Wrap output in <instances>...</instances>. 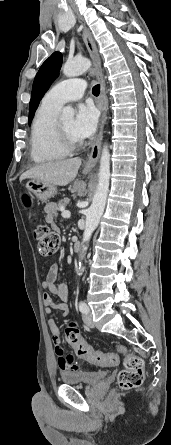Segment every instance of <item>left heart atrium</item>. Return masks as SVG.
<instances>
[{
	"label": "left heart atrium",
	"instance_id": "1",
	"mask_svg": "<svg viewBox=\"0 0 171 445\" xmlns=\"http://www.w3.org/2000/svg\"><path fill=\"white\" fill-rule=\"evenodd\" d=\"M98 124V111L92 104H81L77 108L73 131L81 140L91 136Z\"/></svg>",
	"mask_w": 171,
	"mask_h": 445
}]
</instances>
